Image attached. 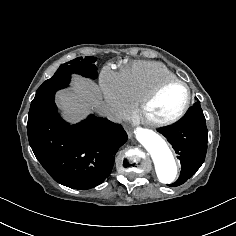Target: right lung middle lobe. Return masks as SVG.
Returning <instances> with one entry per match:
<instances>
[{
	"mask_svg": "<svg viewBox=\"0 0 236 236\" xmlns=\"http://www.w3.org/2000/svg\"><path fill=\"white\" fill-rule=\"evenodd\" d=\"M95 57H78L67 63L62 64L55 72L54 76L46 80L37 90L33 101L41 99L55 91L67 87L71 74H81L88 78H97V68L95 66Z\"/></svg>",
	"mask_w": 236,
	"mask_h": 236,
	"instance_id": "dd1d6c3e",
	"label": "right lung middle lobe"
}]
</instances>
